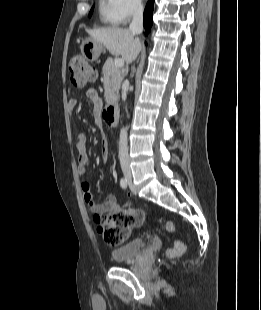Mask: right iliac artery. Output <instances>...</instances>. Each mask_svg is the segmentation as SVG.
Masks as SVG:
<instances>
[{
    "instance_id": "obj_1",
    "label": "right iliac artery",
    "mask_w": 261,
    "mask_h": 310,
    "mask_svg": "<svg viewBox=\"0 0 261 310\" xmlns=\"http://www.w3.org/2000/svg\"><path fill=\"white\" fill-rule=\"evenodd\" d=\"M120 185L123 189H126L127 188V185H128V182L126 180V178H121L120 180Z\"/></svg>"
}]
</instances>
